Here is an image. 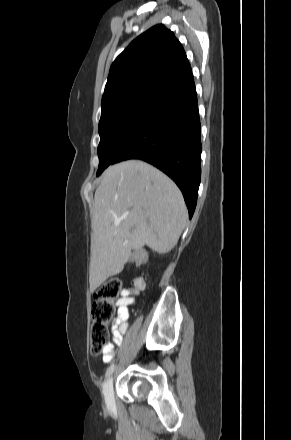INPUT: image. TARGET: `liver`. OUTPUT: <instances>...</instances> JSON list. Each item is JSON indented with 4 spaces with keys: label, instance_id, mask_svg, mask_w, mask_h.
I'll use <instances>...</instances> for the list:
<instances>
[{
    "label": "liver",
    "instance_id": "obj_1",
    "mask_svg": "<svg viewBox=\"0 0 291 440\" xmlns=\"http://www.w3.org/2000/svg\"><path fill=\"white\" fill-rule=\"evenodd\" d=\"M187 219L181 191L160 170L140 160L109 166L94 196L90 290L122 272L133 249L171 251Z\"/></svg>",
    "mask_w": 291,
    "mask_h": 440
}]
</instances>
